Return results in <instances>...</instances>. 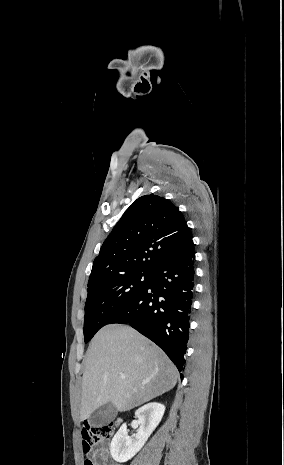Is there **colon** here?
Masks as SVG:
<instances>
[{
  "mask_svg": "<svg viewBox=\"0 0 284 465\" xmlns=\"http://www.w3.org/2000/svg\"><path fill=\"white\" fill-rule=\"evenodd\" d=\"M112 435V428L109 423H95L90 425L82 433V452L88 454L93 446L108 439ZM83 465H94L90 459H85Z\"/></svg>",
  "mask_w": 284,
  "mask_h": 465,
  "instance_id": "5ec220e1",
  "label": "colon"
}]
</instances>
